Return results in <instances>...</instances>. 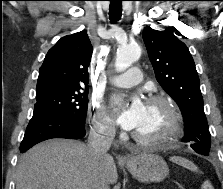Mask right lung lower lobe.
Wrapping results in <instances>:
<instances>
[{
  "label": "right lung lower lobe",
  "mask_w": 223,
  "mask_h": 189,
  "mask_svg": "<svg viewBox=\"0 0 223 189\" xmlns=\"http://www.w3.org/2000/svg\"><path fill=\"white\" fill-rule=\"evenodd\" d=\"M85 135L84 123L73 121L65 115L36 110L26 128L20 152H26L35 144L47 139H79Z\"/></svg>",
  "instance_id": "obj_1"
}]
</instances>
